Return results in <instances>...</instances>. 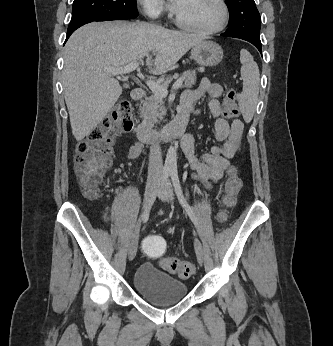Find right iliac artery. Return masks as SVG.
I'll use <instances>...</instances> for the list:
<instances>
[{
	"label": "right iliac artery",
	"instance_id": "obj_1",
	"mask_svg": "<svg viewBox=\"0 0 333 346\" xmlns=\"http://www.w3.org/2000/svg\"><path fill=\"white\" fill-rule=\"evenodd\" d=\"M170 174V169L165 168L162 172V177H161V181H160V186H163L165 184V182L167 181L168 177ZM149 215V212L147 211L144 215H143V219H147Z\"/></svg>",
	"mask_w": 333,
	"mask_h": 346
}]
</instances>
